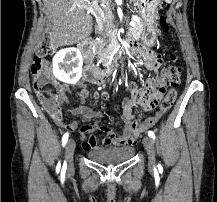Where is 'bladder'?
Segmentation results:
<instances>
[{
	"label": "bladder",
	"mask_w": 217,
	"mask_h": 202,
	"mask_svg": "<svg viewBox=\"0 0 217 202\" xmlns=\"http://www.w3.org/2000/svg\"><path fill=\"white\" fill-rule=\"evenodd\" d=\"M135 148H102L99 151L88 152L87 156L94 161L103 162L106 165H113L129 159Z\"/></svg>",
	"instance_id": "obj_1"
}]
</instances>
